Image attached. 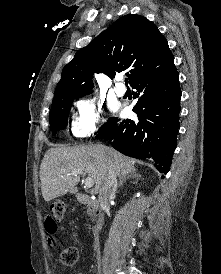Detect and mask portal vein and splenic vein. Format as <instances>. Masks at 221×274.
<instances>
[{
    "label": "portal vein and splenic vein",
    "instance_id": "18ae733b",
    "mask_svg": "<svg viewBox=\"0 0 221 274\" xmlns=\"http://www.w3.org/2000/svg\"><path fill=\"white\" fill-rule=\"evenodd\" d=\"M71 174L72 175L83 174V172L81 170H76V171H73ZM84 185L85 187L91 188L94 185V180L91 177H88L85 179Z\"/></svg>",
    "mask_w": 221,
    "mask_h": 274
}]
</instances>
